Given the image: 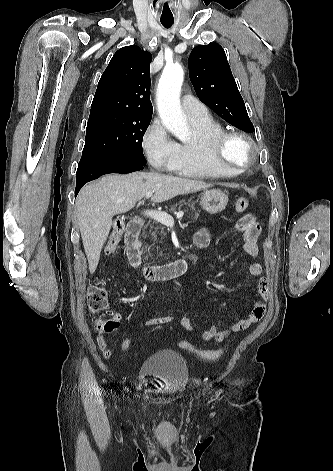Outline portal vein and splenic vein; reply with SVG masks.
<instances>
[{
    "instance_id": "1",
    "label": "portal vein and splenic vein",
    "mask_w": 333,
    "mask_h": 471,
    "mask_svg": "<svg viewBox=\"0 0 333 471\" xmlns=\"http://www.w3.org/2000/svg\"><path fill=\"white\" fill-rule=\"evenodd\" d=\"M153 193H154L153 191H149V192L146 193L145 197L149 198L153 195ZM139 204H138V206H139ZM144 214L147 215L148 217H151V218L159 221L160 223H162L166 226H172L174 224V220H173L172 216H170L169 214H167L165 212L156 211V210H146L144 212ZM183 215H184V212L179 211L177 213V218H182Z\"/></svg>"
}]
</instances>
